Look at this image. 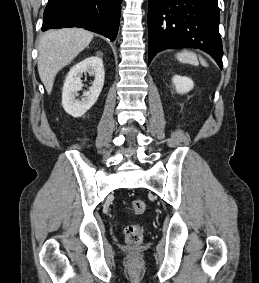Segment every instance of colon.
<instances>
[{
  "label": "colon",
  "mask_w": 259,
  "mask_h": 283,
  "mask_svg": "<svg viewBox=\"0 0 259 283\" xmlns=\"http://www.w3.org/2000/svg\"><path fill=\"white\" fill-rule=\"evenodd\" d=\"M146 204L143 200H133L130 203V210L135 215L145 212ZM143 240V229L138 224H131L125 228V241L129 245H139Z\"/></svg>",
  "instance_id": "5ec220e1"
}]
</instances>
